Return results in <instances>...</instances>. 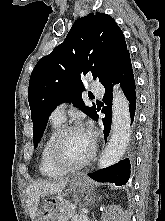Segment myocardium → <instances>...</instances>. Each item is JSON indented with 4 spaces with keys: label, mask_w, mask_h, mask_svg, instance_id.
Segmentation results:
<instances>
[{
    "label": "myocardium",
    "mask_w": 165,
    "mask_h": 221,
    "mask_svg": "<svg viewBox=\"0 0 165 221\" xmlns=\"http://www.w3.org/2000/svg\"><path fill=\"white\" fill-rule=\"evenodd\" d=\"M82 129L78 124H69L60 128V130L54 136L51 147H50V158L52 164L61 171L71 172L76 171L87 165L95 156L96 145L95 141L92 139V145L89 154L80 162L75 164H68L64 162L60 157V145L64 137L74 130Z\"/></svg>",
    "instance_id": "1"
}]
</instances>
